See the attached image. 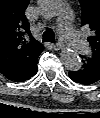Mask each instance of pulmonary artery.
Listing matches in <instances>:
<instances>
[{
  "instance_id": "pulmonary-artery-1",
  "label": "pulmonary artery",
  "mask_w": 100,
  "mask_h": 118,
  "mask_svg": "<svg viewBox=\"0 0 100 118\" xmlns=\"http://www.w3.org/2000/svg\"><path fill=\"white\" fill-rule=\"evenodd\" d=\"M72 13L68 9H63L60 12L58 19V30L62 38L69 42L70 45L79 53L86 54L90 47L87 41L74 29L71 23Z\"/></svg>"
}]
</instances>
